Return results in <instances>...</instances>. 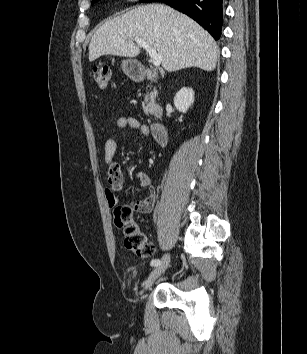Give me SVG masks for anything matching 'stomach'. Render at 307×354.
Returning a JSON list of instances; mask_svg holds the SVG:
<instances>
[{"label": "stomach", "mask_w": 307, "mask_h": 354, "mask_svg": "<svg viewBox=\"0 0 307 354\" xmlns=\"http://www.w3.org/2000/svg\"><path fill=\"white\" fill-rule=\"evenodd\" d=\"M121 67L124 73L132 79H138L141 76L140 64L134 59L123 60Z\"/></svg>", "instance_id": "obj_1"}]
</instances>
